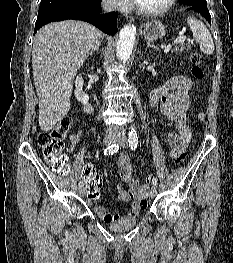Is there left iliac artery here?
Wrapping results in <instances>:
<instances>
[{"mask_svg": "<svg viewBox=\"0 0 233 263\" xmlns=\"http://www.w3.org/2000/svg\"><path fill=\"white\" fill-rule=\"evenodd\" d=\"M128 142H129V147L134 150L137 148L138 146V136H137V133L136 131L132 130L130 133H129V139H128ZM152 184L154 186L157 185V179L156 178H153L152 179Z\"/></svg>", "mask_w": 233, "mask_h": 263, "instance_id": "left-iliac-artery-1", "label": "left iliac artery"}]
</instances>
